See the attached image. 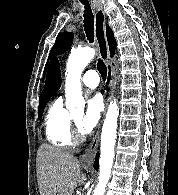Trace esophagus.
Returning a JSON list of instances; mask_svg holds the SVG:
<instances>
[{
    "mask_svg": "<svg viewBox=\"0 0 178 195\" xmlns=\"http://www.w3.org/2000/svg\"><path fill=\"white\" fill-rule=\"evenodd\" d=\"M94 20H95V27H94L95 38L98 45L99 54L107 66V78L109 82H108L107 90L104 91L105 108H107L109 101L111 100L114 93V88L116 85V77H115V70L111 65L109 59V50H108V43H107L106 30H105L106 17L102 9V6L99 3L94 4ZM101 123L102 121L98 126V130L95 136L93 137L92 141L90 142V144L88 145L85 151V156L84 159L82 160L83 166H87V167L91 166L94 161V157L97 152L99 140H100Z\"/></svg>",
    "mask_w": 178,
    "mask_h": 195,
    "instance_id": "34e87169",
    "label": "esophagus"
}]
</instances>
